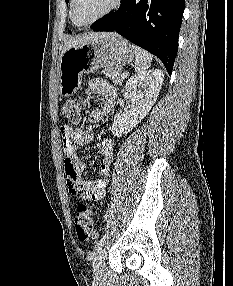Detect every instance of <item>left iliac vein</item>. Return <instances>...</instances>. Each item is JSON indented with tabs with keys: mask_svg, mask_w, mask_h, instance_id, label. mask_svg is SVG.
<instances>
[{
	"mask_svg": "<svg viewBox=\"0 0 233 286\" xmlns=\"http://www.w3.org/2000/svg\"><path fill=\"white\" fill-rule=\"evenodd\" d=\"M104 260H105V254L104 250L101 248L95 255L94 261H93V272L94 276L99 279L104 274Z\"/></svg>",
	"mask_w": 233,
	"mask_h": 286,
	"instance_id": "left-iliac-vein-1",
	"label": "left iliac vein"
}]
</instances>
